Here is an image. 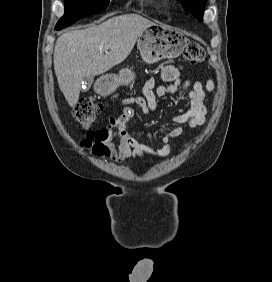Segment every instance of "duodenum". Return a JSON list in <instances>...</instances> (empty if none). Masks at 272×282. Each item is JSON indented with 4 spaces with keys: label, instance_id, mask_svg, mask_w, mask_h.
Returning a JSON list of instances; mask_svg holds the SVG:
<instances>
[{
    "label": "duodenum",
    "instance_id": "duodenum-1",
    "mask_svg": "<svg viewBox=\"0 0 272 282\" xmlns=\"http://www.w3.org/2000/svg\"><path fill=\"white\" fill-rule=\"evenodd\" d=\"M101 89H102V90H105V89H106V87H105V86H102V87H101Z\"/></svg>",
    "mask_w": 272,
    "mask_h": 282
}]
</instances>
